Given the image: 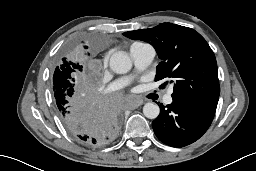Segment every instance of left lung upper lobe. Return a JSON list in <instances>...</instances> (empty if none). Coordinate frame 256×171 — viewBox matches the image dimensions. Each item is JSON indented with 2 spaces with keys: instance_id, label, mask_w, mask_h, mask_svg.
Here are the masks:
<instances>
[{
  "instance_id": "obj_1",
  "label": "left lung upper lobe",
  "mask_w": 256,
  "mask_h": 171,
  "mask_svg": "<svg viewBox=\"0 0 256 171\" xmlns=\"http://www.w3.org/2000/svg\"><path fill=\"white\" fill-rule=\"evenodd\" d=\"M133 40L151 44L162 62L155 81L169 78L174 95H190L218 101L220 94L215 55L205 39L195 30L171 23L151 29L123 33ZM165 82L163 86L167 85Z\"/></svg>"
}]
</instances>
